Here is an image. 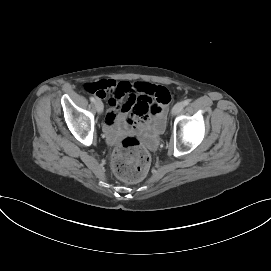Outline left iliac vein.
<instances>
[{
    "label": "left iliac vein",
    "instance_id": "1",
    "mask_svg": "<svg viewBox=\"0 0 271 271\" xmlns=\"http://www.w3.org/2000/svg\"><path fill=\"white\" fill-rule=\"evenodd\" d=\"M184 108V104L183 102H178L177 104L174 105V107L172 108V114L173 115H177L179 114Z\"/></svg>",
    "mask_w": 271,
    "mask_h": 271
}]
</instances>
